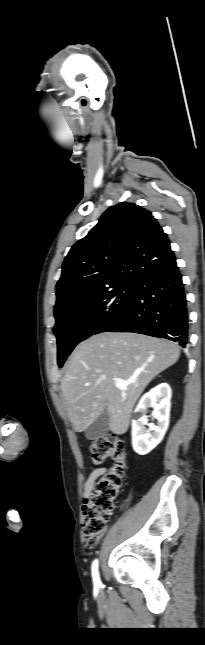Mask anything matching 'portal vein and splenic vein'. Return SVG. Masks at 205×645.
I'll return each mask as SVG.
<instances>
[{"instance_id":"1","label":"portal vein and splenic vein","mask_w":205,"mask_h":645,"mask_svg":"<svg viewBox=\"0 0 205 645\" xmlns=\"http://www.w3.org/2000/svg\"><path fill=\"white\" fill-rule=\"evenodd\" d=\"M134 382H135V380H126V381H125V380H123V379L117 378V379H115V386H116L117 388H119V389H124V388H126L128 385H130V384H132V383H134Z\"/></svg>"}]
</instances>
